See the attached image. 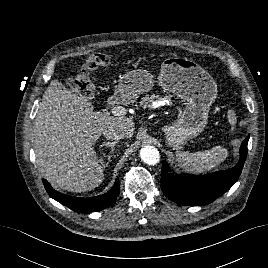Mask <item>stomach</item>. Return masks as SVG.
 Masks as SVG:
<instances>
[{
    "instance_id": "stomach-1",
    "label": "stomach",
    "mask_w": 268,
    "mask_h": 268,
    "mask_svg": "<svg viewBox=\"0 0 268 268\" xmlns=\"http://www.w3.org/2000/svg\"><path fill=\"white\" fill-rule=\"evenodd\" d=\"M158 84L186 102L177 119L162 127L169 147L179 148L203 132L210 106L217 96V85L210 74L195 61L169 57L162 61ZM154 86V76L147 70L127 72L118 83L117 92L124 102H134Z\"/></svg>"
}]
</instances>
